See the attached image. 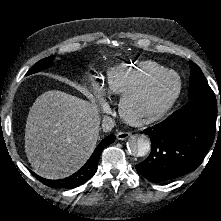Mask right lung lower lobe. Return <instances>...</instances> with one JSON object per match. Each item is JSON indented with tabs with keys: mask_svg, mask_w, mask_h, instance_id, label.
Here are the masks:
<instances>
[{
	"mask_svg": "<svg viewBox=\"0 0 221 221\" xmlns=\"http://www.w3.org/2000/svg\"><path fill=\"white\" fill-rule=\"evenodd\" d=\"M114 141H115L114 135H109L106 138H104L101 141V143L96 147V149L92 153L89 160L85 163V165L69 177L59 180H48L38 176L34 172H32V174L40 182L51 188L70 189L80 186L84 184L86 181H88L95 174L98 166V161L103 149L109 144L113 143Z\"/></svg>",
	"mask_w": 221,
	"mask_h": 221,
	"instance_id": "98d812e1",
	"label": "right lung lower lobe"
}]
</instances>
